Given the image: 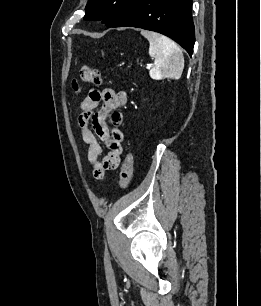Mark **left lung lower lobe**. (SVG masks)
<instances>
[{"label":"left lung lower lobe","instance_id":"left-lung-lower-lobe-1","mask_svg":"<svg viewBox=\"0 0 261 306\" xmlns=\"http://www.w3.org/2000/svg\"><path fill=\"white\" fill-rule=\"evenodd\" d=\"M192 0H133L112 27H137L164 34L191 56L195 43Z\"/></svg>","mask_w":261,"mask_h":306}]
</instances>
